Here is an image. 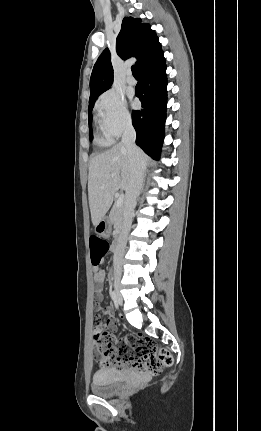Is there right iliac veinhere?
<instances>
[{
	"instance_id": "1",
	"label": "right iliac vein",
	"mask_w": 261,
	"mask_h": 431,
	"mask_svg": "<svg viewBox=\"0 0 261 431\" xmlns=\"http://www.w3.org/2000/svg\"><path fill=\"white\" fill-rule=\"evenodd\" d=\"M114 288H115V294H116V302L118 305H122L123 299L120 293V279L118 277H116L114 280Z\"/></svg>"
}]
</instances>
